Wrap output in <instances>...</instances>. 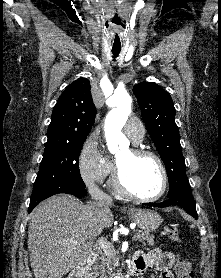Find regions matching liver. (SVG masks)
Masks as SVG:
<instances>
[{
	"mask_svg": "<svg viewBox=\"0 0 221 278\" xmlns=\"http://www.w3.org/2000/svg\"><path fill=\"white\" fill-rule=\"evenodd\" d=\"M111 204L86 205L68 195L53 196L30 214L28 249L35 278H62L92 251L98 228L113 224Z\"/></svg>",
	"mask_w": 221,
	"mask_h": 278,
	"instance_id": "1",
	"label": "liver"
}]
</instances>
